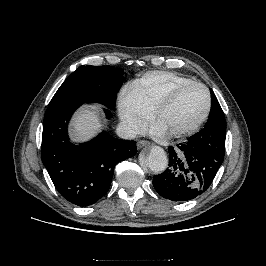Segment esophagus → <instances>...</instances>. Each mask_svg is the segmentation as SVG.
I'll return each instance as SVG.
<instances>
[{"label": "esophagus", "mask_w": 266, "mask_h": 266, "mask_svg": "<svg viewBox=\"0 0 266 266\" xmlns=\"http://www.w3.org/2000/svg\"><path fill=\"white\" fill-rule=\"evenodd\" d=\"M149 145H150V142L145 141V140H139V141L137 142V148H138V149H141L142 147H144V146H149Z\"/></svg>", "instance_id": "1"}]
</instances>
